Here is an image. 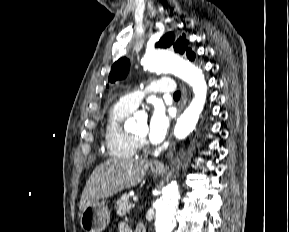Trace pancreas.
<instances>
[{"label": "pancreas", "mask_w": 289, "mask_h": 232, "mask_svg": "<svg viewBox=\"0 0 289 232\" xmlns=\"http://www.w3.org/2000/svg\"><path fill=\"white\" fill-rule=\"evenodd\" d=\"M129 195L125 194L117 201V215L125 216L126 213H129L132 208H134V204L130 202Z\"/></svg>", "instance_id": "obj_1"}]
</instances>
